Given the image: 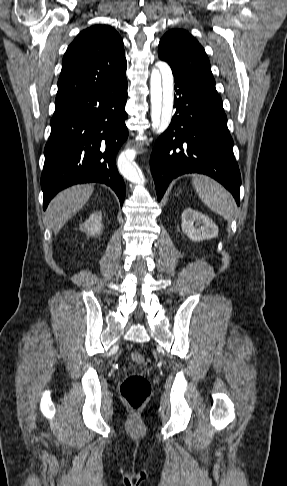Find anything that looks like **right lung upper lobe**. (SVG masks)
Wrapping results in <instances>:
<instances>
[{
  "label": "right lung upper lobe",
  "instance_id": "right-lung-upper-lobe-1",
  "mask_svg": "<svg viewBox=\"0 0 287 486\" xmlns=\"http://www.w3.org/2000/svg\"><path fill=\"white\" fill-rule=\"evenodd\" d=\"M126 69L123 40L114 28L94 25L81 31L63 57L55 109L124 82Z\"/></svg>",
  "mask_w": 287,
  "mask_h": 486
}]
</instances>
